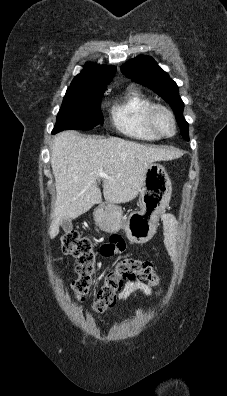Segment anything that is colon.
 I'll return each instance as SVG.
<instances>
[{
  "label": "colon",
  "instance_id": "colon-1",
  "mask_svg": "<svg viewBox=\"0 0 227 396\" xmlns=\"http://www.w3.org/2000/svg\"><path fill=\"white\" fill-rule=\"evenodd\" d=\"M62 251L66 255L76 258L78 277L73 282V290L77 299L83 300L90 289L97 260L93 243L88 237L72 231L63 237ZM132 281H142L152 286H160V279L152 262L131 257L125 258L106 274L104 283L98 289L93 302L94 311L103 313L112 307L125 284Z\"/></svg>",
  "mask_w": 227,
  "mask_h": 396
}]
</instances>
